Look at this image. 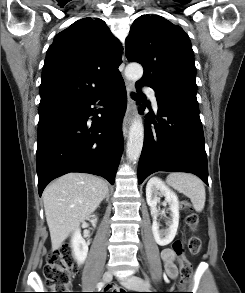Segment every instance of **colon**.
I'll return each instance as SVG.
<instances>
[{"mask_svg":"<svg viewBox=\"0 0 245 293\" xmlns=\"http://www.w3.org/2000/svg\"><path fill=\"white\" fill-rule=\"evenodd\" d=\"M185 212V221L189 229L193 232L198 229L199 219L196 213L191 210L189 202L184 201L181 204ZM188 248L191 254L195 255L200 252L201 239L199 236L192 234L188 241ZM175 256L180 262V280L181 283H188L192 277V268L184 255L185 249L181 242L173 245ZM43 273L47 285L55 289L56 293H71L72 281L76 274V261L73 251L70 247L64 246L52 252L46 259L43 266Z\"/></svg>","mask_w":245,"mask_h":293,"instance_id":"1","label":"colon"}]
</instances>
